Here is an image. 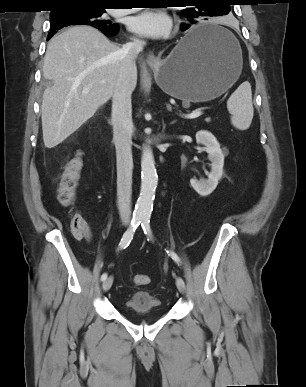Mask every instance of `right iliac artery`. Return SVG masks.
<instances>
[{"mask_svg": "<svg viewBox=\"0 0 306 387\" xmlns=\"http://www.w3.org/2000/svg\"><path fill=\"white\" fill-rule=\"evenodd\" d=\"M142 219L140 217H134L131 221L130 227L123 234L122 239L119 244V249H125L133 239L134 232L137 227L140 225ZM107 279V273L102 274L101 281H105Z\"/></svg>", "mask_w": 306, "mask_h": 387, "instance_id": "82829eb1", "label": "right iliac artery"}]
</instances>
